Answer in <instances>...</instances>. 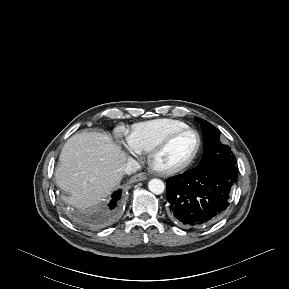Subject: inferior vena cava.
<instances>
[{
	"instance_id": "602c4592",
	"label": "inferior vena cava",
	"mask_w": 289,
	"mask_h": 289,
	"mask_svg": "<svg viewBox=\"0 0 289 289\" xmlns=\"http://www.w3.org/2000/svg\"><path fill=\"white\" fill-rule=\"evenodd\" d=\"M140 168V164L134 160L133 158H128L126 163L121 168V171L126 174H131L138 171Z\"/></svg>"
}]
</instances>
